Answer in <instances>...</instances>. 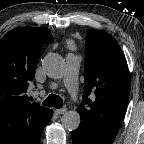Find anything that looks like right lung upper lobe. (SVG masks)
<instances>
[{"mask_svg":"<svg viewBox=\"0 0 144 144\" xmlns=\"http://www.w3.org/2000/svg\"><path fill=\"white\" fill-rule=\"evenodd\" d=\"M52 41L44 27L16 28L0 40V144H32L51 120L52 109L30 103L26 91Z\"/></svg>","mask_w":144,"mask_h":144,"instance_id":"cb5924a9","label":"right lung upper lobe"}]
</instances>
